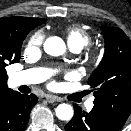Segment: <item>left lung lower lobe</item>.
<instances>
[{
  "label": "left lung lower lobe",
  "mask_w": 131,
  "mask_h": 131,
  "mask_svg": "<svg viewBox=\"0 0 131 131\" xmlns=\"http://www.w3.org/2000/svg\"><path fill=\"white\" fill-rule=\"evenodd\" d=\"M74 112L72 120L65 126L66 131H118L122 127L102 109L95 106L86 113L75 104Z\"/></svg>",
  "instance_id": "left-lung-lower-lobe-1"
}]
</instances>
